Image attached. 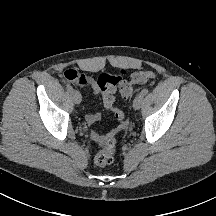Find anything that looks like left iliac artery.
Masks as SVG:
<instances>
[{"mask_svg":"<svg viewBox=\"0 0 216 216\" xmlns=\"http://www.w3.org/2000/svg\"><path fill=\"white\" fill-rule=\"evenodd\" d=\"M148 94V89H143V90H141V92H140V95H142V96H145V95H147Z\"/></svg>","mask_w":216,"mask_h":216,"instance_id":"1","label":"left iliac artery"}]
</instances>
